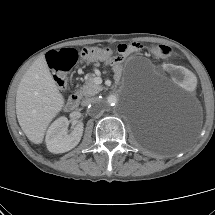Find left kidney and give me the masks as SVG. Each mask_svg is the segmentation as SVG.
<instances>
[{"mask_svg":"<svg viewBox=\"0 0 215 215\" xmlns=\"http://www.w3.org/2000/svg\"><path fill=\"white\" fill-rule=\"evenodd\" d=\"M164 72L183 88H191L195 84V77L185 67H178L173 63H168L164 67Z\"/></svg>","mask_w":215,"mask_h":215,"instance_id":"1","label":"left kidney"}]
</instances>
